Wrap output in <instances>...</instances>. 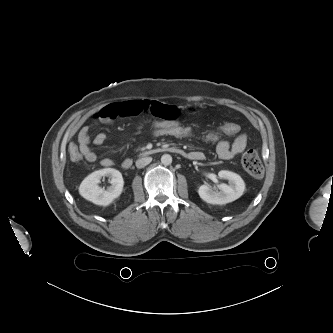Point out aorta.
<instances>
[{"instance_id": "1", "label": "aorta", "mask_w": 333, "mask_h": 333, "mask_svg": "<svg viewBox=\"0 0 333 333\" xmlns=\"http://www.w3.org/2000/svg\"><path fill=\"white\" fill-rule=\"evenodd\" d=\"M161 163L165 166H168L172 163V157L169 154H164L161 157Z\"/></svg>"}]
</instances>
